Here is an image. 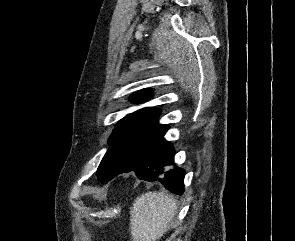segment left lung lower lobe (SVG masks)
<instances>
[{"mask_svg":"<svg viewBox=\"0 0 295 241\" xmlns=\"http://www.w3.org/2000/svg\"><path fill=\"white\" fill-rule=\"evenodd\" d=\"M174 154L171 143L162 136L138 157L126 164L115 176L133 171L139 179L159 181L171 192L182 195L184 171L180 168L164 171L165 166L174 164ZM102 183L106 184L107 181Z\"/></svg>","mask_w":295,"mask_h":241,"instance_id":"left-lung-lower-lobe-1","label":"left lung lower lobe"}]
</instances>
